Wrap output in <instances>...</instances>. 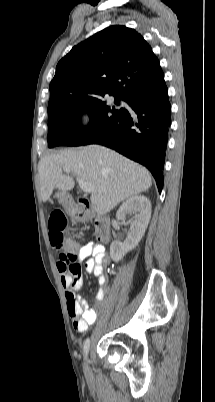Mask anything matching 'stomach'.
Instances as JSON below:
<instances>
[{"label":"stomach","mask_w":215,"mask_h":402,"mask_svg":"<svg viewBox=\"0 0 215 402\" xmlns=\"http://www.w3.org/2000/svg\"><path fill=\"white\" fill-rule=\"evenodd\" d=\"M56 197L59 199V202L63 205L67 204V195L64 192L56 193Z\"/></svg>","instance_id":"stomach-1"}]
</instances>
